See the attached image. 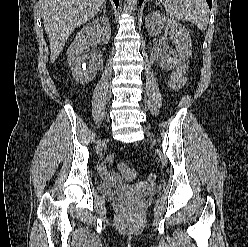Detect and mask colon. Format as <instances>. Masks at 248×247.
<instances>
[{"mask_svg": "<svg viewBox=\"0 0 248 247\" xmlns=\"http://www.w3.org/2000/svg\"><path fill=\"white\" fill-rule=\"evenodd\" d=\"M188 67V64L185 63L183 65H181L180 67H178L176 70L173 71V73L170 75L169 78V83H168V87L172 90H176L180 87L181 83H182V75L185 73L186 69ZM114 160V156L112 154H109L106 157V162L108 164H111ZM119 169L123 172V174L125 175V177L132 179L136 176V172L134 170H132L129 166H127L125 163L120 162L118 164ZM156 175L154 173H150L148 176V179L150 181L155 180Z\"/></svg>", "mask_w": 248, "mask_h": 247, "instance_id": "5ec220e1", "label": "colon"}]
</instances>
